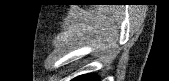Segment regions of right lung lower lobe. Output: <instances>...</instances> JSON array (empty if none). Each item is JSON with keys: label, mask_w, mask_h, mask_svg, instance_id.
Wrapping results in <instances>:
<instances>
[{"label": "right lung lower lobe", "mask_w": 169, "mask_h": 81, "mask_svg": "<svg viewBox=\"0 0 169 81\" xmlns=\"http://www.w3.org/2000/svg\"><path fill=\"white\" fill-rule=\"evenodd\" d=\"M72 81H99V79L95 75L87 74V75L79 76L73 79Z\"/></svg>", "instance_id": "obj_1"}]
</instances>
